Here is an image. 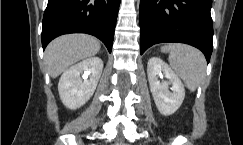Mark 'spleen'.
Segmentation results:
<instances>
[{"instance_id": "spleen-1", "label": "spleen", "mask_w": 243, "mask_h": 145, "mask_svg": "<svg viewBox=\"0 0 243 145\" xmlns=\"http://www.w3.org/2000/svg\"><path fill=\"white\" fill-rule=\"evenodd\" d=\"M169 63L190 91H195L205 77L206 60L198 49L185 44L170 47Z\"/></svg>"}]
</instances>
